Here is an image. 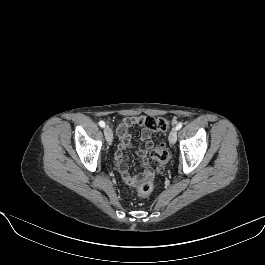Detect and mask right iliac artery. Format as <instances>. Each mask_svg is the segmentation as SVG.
Wrapping results in <instances>:
<instances>
[{
    "label": "right iliac artery",
    "mask_w": 265,
    "mask_h": 265,
    "mask_svg": "<svg viewBox=\"0 0 265 265\" xmlns=\"http://www.w3.org/2000/svg\"><path fill=\"white\" fill-rule=\"evenodd\" d=\"M99 125H100V127L104 128L105 127V122L104 121H100Z\"/></svg>",
    "instance_id": "right-iliac-artery-1"
}]
</instances>
